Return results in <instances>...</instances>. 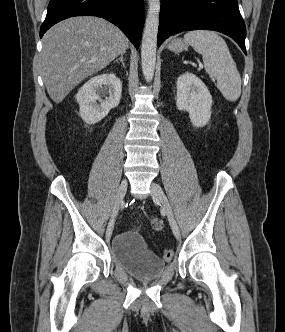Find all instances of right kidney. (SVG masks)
<instances>
[{
  "label": "right kidney",
  "mask_w": 285,
  "mask_h": 332,
  "mask_svg": "<svg viewBox=\"0 0 285 332\" xmlns=\"http://www.w3.org/2000/svg\"><path fill=\"white\" fill-rule=\"evenodd\" d=\"M122 83L113 73L92 77L78 91L76 101L79 104V115L87 124L101 121L109 111L119 105ZM109 94L105 100L101 97ZM97 102H100L98 104Z\"/></svg>",
  "instance_id": "obj_1"
}]
</instances>
